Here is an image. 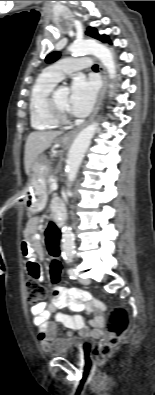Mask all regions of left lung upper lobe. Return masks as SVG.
<instances>
[{
  "label": "left lung upper lobe",
  "instance_id": "obj_1",
  "mask_svg": "<svg viewBox=\"0 0 155 395\" xmlns=\"http://www.w3.org/2000/svg\"><path fill=\"white\" fill-rule=\"evenodd\" d=\"M86 34L88 36L96 38V39H98V40H100L102 42H110L107 35H99L98 31L95 28H93V27H88L87 31H86ZM59 56H60L59 52H52L49 55H47L45 61L47 63L55 62L59 58Z\"/></svg>",
  "mask_w": 155,
  "mask_h": 395
}]
</instances>
